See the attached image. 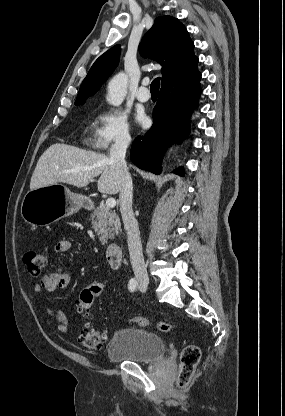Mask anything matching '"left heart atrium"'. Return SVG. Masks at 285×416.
Listing matches in <instances>:
<instances>
[{
    "label": "left heart atrium",
    "instance_id": "obj_1",
    "mask_svg": "<svg viewBox=\"0 0 285 416\" xmlns=\"http://www.w3.org/2000/svg\"><path fill=\"white\" fill-rule=\"evenodd\" d=\"M136 119H137V121H138L139 123H144V121H145V116H144V114H143V113H138V114L136 115Z\"/></svg>",
    "mask_w": 285,
    "mask_h": 416
}]
</instances>
